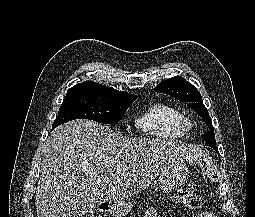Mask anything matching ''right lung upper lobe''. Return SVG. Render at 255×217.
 I'll return each instance as SVG.
<instances>
[{"mask_svg":"<svg viewBox=\"0 0 255 217\" xmlns=\"http://www.w3.org/2000/svg\"><path fill=\"white\" fill-rule=\"evenodd\" d=\"M70 91H90V92H99V93H112V94H122V95H129V96H135L133 94H127L125 91H118L111 87L97 84L92 81H86L80 84H76L74 87L70 88L68 92Z\"/></svg>","mask_w":255,"mask_h":217,"instance_id":"cb5924a9","label":"right lung upper lobe"}]
</instances>
